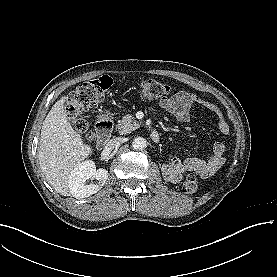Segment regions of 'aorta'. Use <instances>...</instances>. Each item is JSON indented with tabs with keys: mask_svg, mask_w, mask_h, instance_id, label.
<instances>
[{
	"mask_svg": "<svg viewBox=\"0 0 277 277\" xmlns=\"http://www.w3.org/2000/svg\"><path fill=\"white\" fill-rule=\"evenodd\" d=\"M132 147L134 150H143L147 147V141L143 137H136L132 141Z\"/></svg>",
	"mask_w": 277,
	"mask_h": 277,
	"instance_id": "1",
	"label": "aorta"
}]
</instances>
